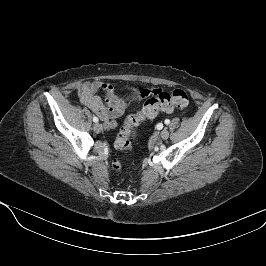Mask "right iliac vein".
I'll return each instance as SVG.
<instances>
[{
	"instance_id": "63e3f726",
	"label": "right iliac vein",
	"mask_w": 266,
	"mask_h": 266,
	"mask_svg": "<svg viewBox=\"0 0 266 266\" xmlns=\"http://www.w3.org/2000/svg\"><path fill=\"white\" fill-rule=\"evenodd\" d=\"M93 130L96 133H100L102 131V125L100 123H95L94 126H93Z\"/></svg>"
}]
</instances>
